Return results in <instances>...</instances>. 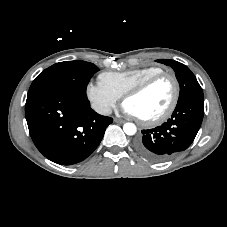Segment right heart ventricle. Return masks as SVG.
Returning <instances> with one entry per match:
<instances>
[{
	"mask_svg": "<svg viewBox=\"0 0 227 227\" xmlns=\"http://www.w3.org/2000/svg\"><path fill=\"white\" fill-rule=\"evenodd\" d=\"M161 72L163 69L156 66L141 67L124 72H103L99 76V81L121 97L132 87Z\"/></svg>",
	"mask_w": 227,
	"mask_h": 227,
	"instance_id": "obj_1",
	"label": "right heart ventricle"
}]
</instances>
